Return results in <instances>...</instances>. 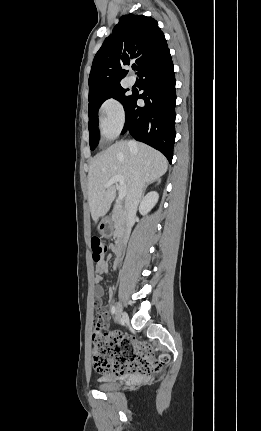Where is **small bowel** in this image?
<instances>
[{"instance_id": "small-bowel-1", "label": "small bowel", "mask_w": 261, "mask_h": 431, "mask_svg": "<svg viewBox=\"0 0 261 431\" xmlns=\"http://www.w3.org/2000/svg\"><path fill=\"white\" fill-rule=\"evenodd\" d=\"M109 271L108 264L105 260H102L99 264H97L95 269V278L94 281L96 283L95 288V296H96V303H101V299L104 296V288L100 285L101 281L103 280V275L107 274ZM97 317L102 319L104 327H107L109 324V317H108V311L104 307H100L99 311L97 312Z\"/></svg>"}]
</instances>
